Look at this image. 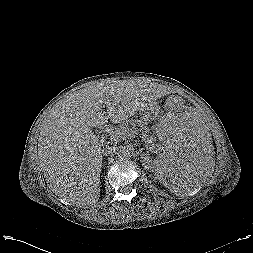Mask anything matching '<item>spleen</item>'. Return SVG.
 Wrapping results in <instances>:
<instances>
[{"label":"spleen","mask_w":253,"mask_h":253,"mask_svg":"<svg viewBox=\"0 0 253 253\" xmlns=\"http://www.w3.org/2000/svg\"><path fill=\"white\" fill-rule=\"evenodd\" d=\"M156 181L185 196L204 186L212 171V146L200 108L192 102L172 105L151 137Z\"/></svg>","instance_id":"1"}]
</instances>
